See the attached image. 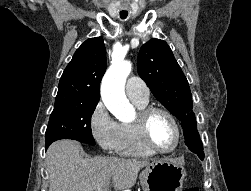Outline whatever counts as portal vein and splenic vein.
Here are the masks:
<instances>
[{
  "label": "portal vein and splenic vein",
  "instance_id": "portal-vein-and-splenic-vein-1",
  "mask_svg": "<svg viewBox=\"0 0 251 191\" xmlns=\"http://www.w3.org/2000/svg\"><path fill=\"white\" fill-rule=\"evenodd\" d=\"M95 191H106V189H104V187H102V185H98V187H96Z\"/></svg>",
  "mask_w": 251,
  "mask_h": 191
}]
</instances>
